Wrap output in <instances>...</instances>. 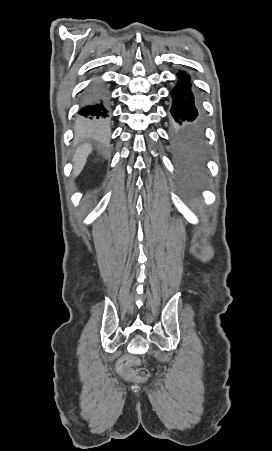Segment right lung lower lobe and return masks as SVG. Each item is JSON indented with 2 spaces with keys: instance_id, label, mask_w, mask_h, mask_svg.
I'll list each match as a JSON object with an SVG mask.
<instances>
[{
  "instance_id": "1",
  "label": "right lung lower lobe",
  "mask_w": 272,
  "mask_h": 451,
  "mask_svg": "<svg viewBox=\"0 0 272 451\" xmlns=\"http://www.w3.org/2000/svg\"><path fill=\"white\" fill-rule=\"evenodd\" d=\"M78 114V124L85 131L99 132L107 129L111 116L105 93L100 89L90 88L84 95Z\"/></svg>"
}]
</instances>
